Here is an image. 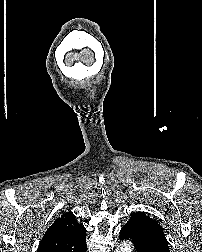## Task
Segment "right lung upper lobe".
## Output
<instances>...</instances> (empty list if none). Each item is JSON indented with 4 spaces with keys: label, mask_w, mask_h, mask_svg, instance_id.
Returning <instances> with one entry per match:
<instances>
[{
    "label": "right lung upper lobe",
    "mask_w": 202,
    "mask_h": 252,
    "mask_svg": "<svg viewBox=\"0 0 202 252\" xmlns=\"http://www.w3.org/2000/svg\"><path fill=\"white\" fill-rule=\"evenodd\" d=\"M86 229L68 212L57 218L43 236L37 252H83Z\"/></svg>",
    "instance_id": "obj_1"
}]
</instances>
